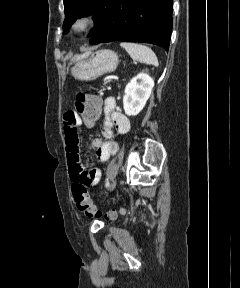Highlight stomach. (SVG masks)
I'll use <instances>...</instances> for the list:
<instances>
[{
    "instance_id": "1",
    "label": "stomach",
    "mask_w": 240,
    "mask_h": 288,
    "mask_svg": "<svg viewBox=\"0 0 240 288\" xmlns=\"http://www.w3.org/2000/svg\"><path fill=\"white\" fill-rule=\"evenodd\" d=\"M119 63L117 54L108 49L96 53H86L71 61V74L75 79L92 80L100 75L114 71Z\"/></svg>"
}]
</instances>
